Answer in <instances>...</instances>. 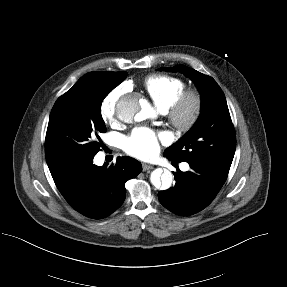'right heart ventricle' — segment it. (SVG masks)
Wrapping results in <instances>:
<instances>
[{"label": "right heart ventricle", "instance_id": "e07e8e85", "mask_svg": "<svg viewBox=\"0 0 287 287\" xmlns=\"http://www.w3.org/2000/svg\"><path fill=\"white\" fill-rule=\"evenodd\" d=\"M143 86L157 107L166 111L184 90L185 82L176 76L153 74L144 79Z\"/></svg>", "mask_w": 287, "mask_h": 287}]
</instances>
